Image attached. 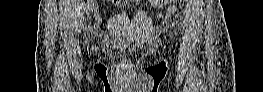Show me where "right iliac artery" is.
Here are the masks:
<instances>
[{
  "label": "right iliac artery",
  "instance_id": "obj_1",
  "mask_svg": "<svg viewBox=\"0 0 263 92\" xmlns=\"http://www.w3.org/2000/svg\"><path fill=\"white\" fill-rule=\"evenodd\" d=\"M92 28H95V25H92Z\"/></svg>",
  "mask_w": 263,
  "mask_h": 92
}]
</instances>
